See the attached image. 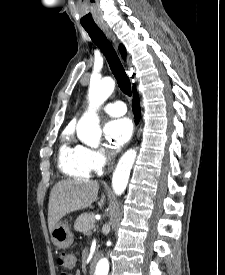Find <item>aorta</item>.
<instances>
[{
    "label": "aorta",
    "mask_w": 225,
    "mask_h": 275,
    "mask_svg": "<svg viewBox=\"0 0 225 275\" xmlns=\"http://www.w3.org/2000/svg\"><path fill=\"white\" fill-rule=\"evenodd\" d=\"M114 88L115 82L111 77L90 81L88 90L89 107L79 119L76 132L77 137L91 147H97L101 137L99 117L96 111L112 94ZM136 155V150L130 149L120 158L112 177V187L116 195H121L125 191ZM108 271L109 262L106 258H102L96 266L95 275H107Z\"/></svg>",
    "instance_id": "obj_1"
}]
</instances>
